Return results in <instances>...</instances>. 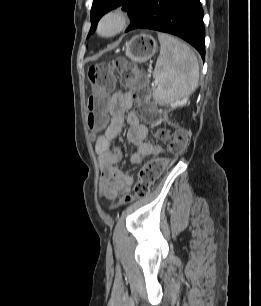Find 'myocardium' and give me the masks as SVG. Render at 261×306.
<instances>
[{
    "label": "myocardium",
    "instance_id": "myocardium-1",
    "mask_svg": "<svg viewBox=\"0 0 261 306\" xmlns=\"http://www.w3.org/2000/svg\"><path fill=\"white\" fill-rule=\"evenodd\" d=\"M130 24L129 13L122 8H112L105 12L96 26V35L100 38H112L122 33Z\"/></svg>",
    "mask_w": 261,
    "mask_h": 306
}]
</instances>
